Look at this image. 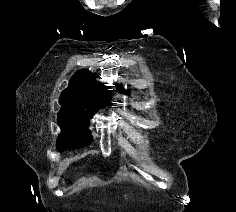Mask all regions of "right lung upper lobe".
<instances>
[{"label": "right lung upper lobe", "mask_w": 236, "mask_h": 212, "mask_svg": "<svg viewBox=\"0 0 236 212\" xmlns=\"http://www.w3.org/2000/svg\"><path fill=\"white\" fill-rule=\"evenodd\" d=\"M109 87L98 83L90 71H77L69 82V87L60 96V105L65 109L95 110L102 103L110 101Z\"/></svg>", "instance_id": "cb5924a9"}]
</instances>
